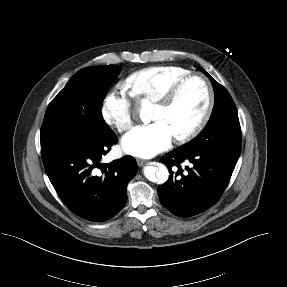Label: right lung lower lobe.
Listing matches in <instances>:
<instances>
[{"instance_id": "1", "label": "right lung lower lobe", "mask_w": 287, "mask_h": 287, "mask_svg": "<svg viewBox=\"0 0 287 287\" xmlns=\"http://www.w3.org/2000/svg\"><path fill=\"white\" fill-rule=\"evenodd\" d=\"M116 142L117 136L111 130L88 143L41 151L46 173L59 197L86 220H108L126 203L127 184L138 169L136 160L125 156L107 165L100 163Z\"/></svg>"}]
</instances>
